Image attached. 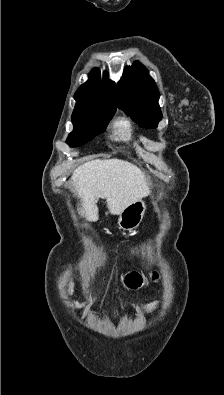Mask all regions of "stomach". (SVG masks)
<instances>
[{"mask_svg": "<svg viewBox=\"0 0 224 395\" xmlns=\"http://www.w3.org/2000/svg\"><path fill=\"white\" fill-rule=\"evenodd\" d=\"M145 211L146 204L143 199L132 202L119 214V227L128 231L137 228L142 222Z\"/></svg>", "mask_w": 224, "mask_h": 395, "instance_id": "0dacf381", "label": "stomach"}]
</instances>
